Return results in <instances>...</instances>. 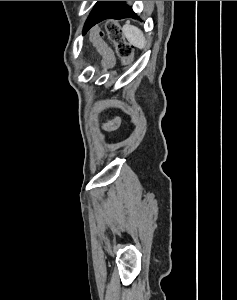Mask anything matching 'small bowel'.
<instances>
[{
    "instance_id": "obj_1",
    "label": "small bowel",
    "mask_w": 237,
    "mask_h": 300,
    "mask_svg": "<svg viewBox=\"0 0 237 300\" xmlns=\"http://www.w3.org/2000/svg\"><path fill=\"white\" fill-rule=\"evenodd\" d=\"M120 125V119L118 117H114L112 120L103 123L102 128L105 131H114L115 129H117Z\"/></svg>"
}]
</instances>
